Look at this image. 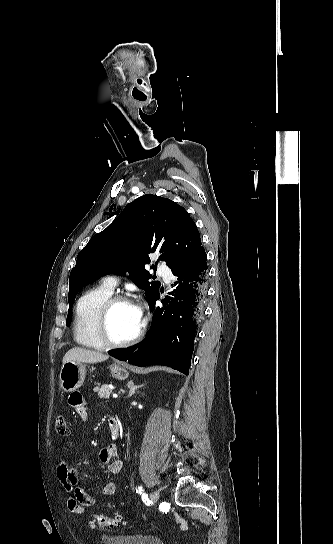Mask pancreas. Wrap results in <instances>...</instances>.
<instances>
[{
    "instance_id": "pancreas-1",
    "label": "pancreas",
    "mask_w": 333,
    "mask_h": 544,
    "mask_svg": "<svg viewBox=\"0 0 333 544\" xmlns=\"http://www.w3.org/2000/svg\"><path fill=\"white\" fill-rule=\"evenodd\" d=\"M94 392L98 393V396L103 399H107L110 397L112 393V389L108 385H102L101 387H95Z\"/></svg>"
}]
</instances>
